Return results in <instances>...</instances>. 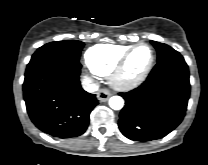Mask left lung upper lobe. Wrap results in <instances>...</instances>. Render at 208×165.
<instances>
[{
  "label": "left lung upper lobe",
  "mask_w": 208,
  "mask_h": 165,
  "mask_svg": "<svg viewBox=\"0 0 208 165\" xmlns=\"http://www.w3.org/2000/svg\"><path fill=\"white\" fill-rule=\"evenodd\" d=\"M151 43L154 45V47L157 50L158 61L171 55V54L178 53L176 50H174L172 47H170L166 44L159 43L156 41H151Z\"/></svg>",
  "instance_id": "obj_1"
}]
</instances>
